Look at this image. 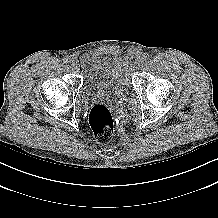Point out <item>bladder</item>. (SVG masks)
Segmentation results:
<instances>
[{
    "mask_svg": "<svg viewBox=\"0 0 218 218\" xmlns=\"http://www.w3.org/2000/svg\"><path fill=\"white\" fill-rule=\"evenodd\" d=\"M80 67L88 96L122 95L131 85L130 64L121 56L88 53L80 58Z\"/></svg>",
    "mask_w": 218,
    "mask_h": 218,
    "instance_id": "bladder-1",
    "label": "bladder"
}]
</instances>
